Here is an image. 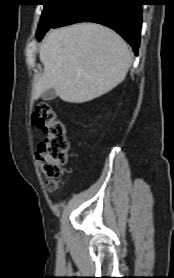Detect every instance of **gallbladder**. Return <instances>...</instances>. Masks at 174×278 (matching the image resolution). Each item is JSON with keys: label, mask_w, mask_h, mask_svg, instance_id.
Segmentation results:
<instances>
[{"label": "gallbladder", "mask_w": 174, "mask_h": 278, "mask_svg": "<svg viewBox=\"0 0 174 278\" xmlns=\"http://www.w3.org/2000/svg\"><path fill=\"white\" fill-rule=\"evenodd\" d=\"M42 99L45 101H52L57 97L54 88H50L42 93Z\"/></svg>", "instance_id": "obj_1"}]
</instances>
